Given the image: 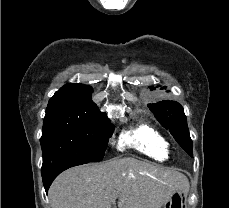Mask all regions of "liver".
<instances>
[{
  "mask_svg": "<svg viewBox=\"0 0 229 208\" xmlns=\"http://www.w3.org/2000/svg\"><path fill=\"white\" fill-rule=\"evenodd\" d=\"M188 178L173 168L134 158L70 168L54 180L51 208H162L174 190L189 192Z\"/></svg>",
  "mask_w": 229,
  "mask_h": 208,
  "instance_id": "1",
  "label": "liver"
}]
</instances>
